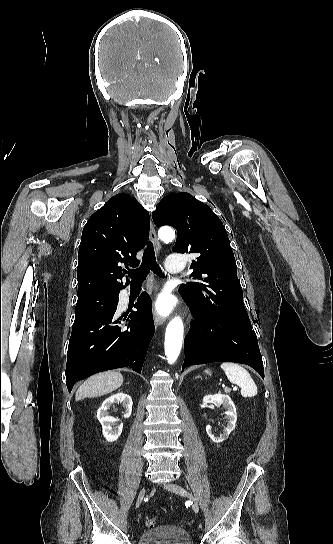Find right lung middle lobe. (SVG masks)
Segmentation results:
<instances>
[{"label": "right lung middle lobe", "instance_id": "1", "mask_svg": "<svg viewBox=\"0 0 333 544\" xmlns=\"http://www.w3.org/2000/svg\"><path fill=\"white\" fill-rule=\"evenodd\" d=\"M118 305V293H105L78 300L73 326L80 325L93 317Z\"/></svg>", "mask_w": 333, "mask_h": 544}]
</instances>
